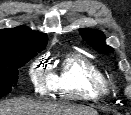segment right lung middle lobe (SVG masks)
I'll list each match as a JSON object with an SVG mask.
<instances>
[{"label": "right lung middle lobe", "mask_w": 131, "mask_h": 115, "mask_svg": "<svg viewBox=\"0 0 131 115\" xmlns=\"http://www.w3.org/2000/svg\"><path fill=\"white\" fill-rule=\"evenodd\" d=\"M37 54L36 51L22 52L11 58L6 65H0V98L11 92L18 80V68Z\"/></svg>", "instance_id": "1"}]
</instances>
